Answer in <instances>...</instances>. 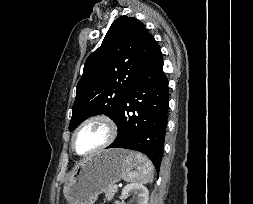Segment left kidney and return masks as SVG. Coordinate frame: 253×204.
<instances>
[{"instance_id": "1", "label": "left kidney", "mask_w": 253, "mask_h": 204, "mask_svg": "<svg viewBox=\"0 0 253 204\" xmlns=\"http://www.w3.org/2000/svg\"><path fill=\"white\" fill-rule=\"evenodd\" d=\"M131 194H134L136 198V204H148V189L141 183H131L126 185L121 193V197L127 198Z\"/></svg>"}]
</instances>
